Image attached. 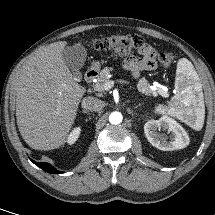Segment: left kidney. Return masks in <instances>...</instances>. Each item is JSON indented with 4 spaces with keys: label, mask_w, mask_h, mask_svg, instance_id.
<instances>
[{
    "label": "left kidney",
    "mask_w": 215,
    "mask_h": 215,
    "mask_svg": "<svg viewBox=\"0 0 215 215\" xmlns=\"http://www.w3.org/2000/svg\"><path fill=\"white\" fill-rule=\"evenodd\" d=\"M163 128L171 132V139L166 141V137L157 132ZM144 133L148 141L156 148L163 151H171L185 148L190 140L185 129L171 117L164 115L159 120H150L144 125Z\"/></svg>",
    "instance_id": "left-kidney-1"
}]
</instances>
